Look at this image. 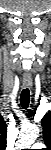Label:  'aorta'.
<instances>
[{"label": "aorta", "mask_w": 51, "mask_h": 150, "mask_svg": "<svg viewBox=\"0 0 51 150\" xmlns=\"http://www.w3.org/2000/svg\"><path fill=\"white\" fill-rule=\"evenodd\" d=\"M39 135V129L36 126L27 127L22 129L18 140L16 142V150L27 149L36 140Z\"/></svg>", "instance_id": "obj_1"}]
</instances>
